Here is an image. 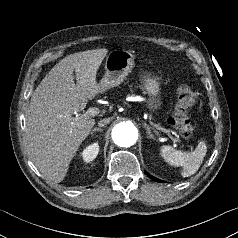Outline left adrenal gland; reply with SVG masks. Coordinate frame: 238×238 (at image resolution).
Masks as SVG:
<instances>
[{"instance_id":"left-adrenal-gland-1","label":"left adrenal gland","mask_w":238,"mask_h":238,"mask_svg":"<svg viewBox=\"0 0 238 238\" xmlns=\"http://www.w3.org/2000/svg\"><path fill=\"white\" fill-rule=\"evenodd\" d=\"M143 126L147 129V134L149 138H153V134L151 133V128L148 126L145 122L143 123Z\"/></svg>"}]
</instances>
